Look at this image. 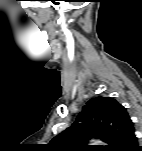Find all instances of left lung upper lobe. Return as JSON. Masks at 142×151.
Returning <instances> with one entry per match:
<instances>
[{"instance_id": "5c2ea615", "label": "left lung upper lobe", "mask_w": 142, "mask_h": 151, "mask_svg": "<svg viewBox=\"0 0 142 151\" xmlns=\"http://www.w3.org/2000/svg\"><path fill=\"white\" fill-rule=\"evenodd\" d=\"M134 128L127 110L111 97H95L83 107L71 127L51 140L54 151L85 150V143L99 138L108 146L103 150L112 151L120 140Z\"/></svg>"}]
</instances>
